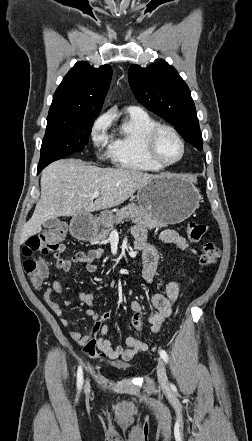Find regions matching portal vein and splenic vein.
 <instances>
[{
	"mask_svg": "<svg viewBox=\"0 0 252 441\" xmlns=\"http://www.w3.org/2000/svg\"><path fill=\"white\" fill-rule=\"evenodd\" d=\"M100 193L99 192H94L91 194V198L95 199L97 197H99Z\"/></svg>",
	"mask_w": 252,
	"mask_h": 441,
	"instance_id": "18ae733b",
	"label": "portal vein and splenic vein"
}]
</instances>
